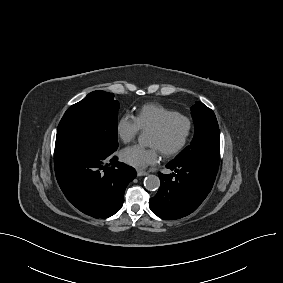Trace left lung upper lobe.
I'll return each instance as SVG.
<instances>
[{"label":"left lung upper lobe","instance_id":"1","mask_svg":"<svg viewBox=\"0 0 283 283\" xmlns=\"http://www.w3.org/2000/svg\"><path fill=\"white\" fill-rule=\"evenodd\" d=\"M195 125V135L173 161L202 160L218 169L220 161V132L214 112L202 102H196L191 108Z\"/></svg>","mask_w":283,"mask_h":283}]
</instances>
